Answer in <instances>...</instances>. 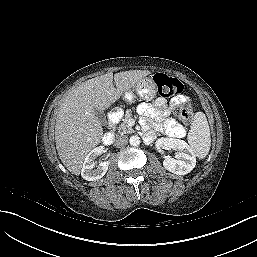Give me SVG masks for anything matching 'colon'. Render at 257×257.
Returning <instances> with one entry per match:
<instances>
[{
    "instance_id": "colon-1",
    "label": "colon",
    "mask_w": 257,
    "mask_h": 257,
    "mask_svg": "<svg viewBox=\"0 0 257 257\" xmlns=\"http://www.w3.org/2000/svg\"><path fill=\"white\" fill-rule=\"evenodd\" d=\"M158 93L164 97L169 98L180 94L183 91V84L180 80L170 77L164 73H158L154 77ZM177 116L184 123H189L192 119V106L185 104L177 109Z\"/></svg>"
}]
</instances>
